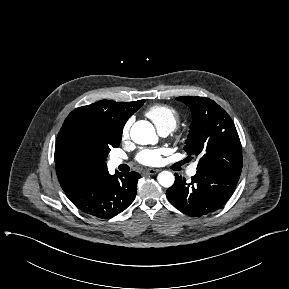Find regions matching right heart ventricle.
<instances>
[{
	"label": "right heart ventricle",
	"instance_id": "e07e8e85",
	"mask_svg": "<svg viewBox=\"0 0 289 289\" xmlns=\"http://www.w3.org/2000/svg\"><path fill=\"white\" fill-rule=\"evenodd\" d=\"M145 116L154 123L160 133L163 131H173L180 121L179 112L175 108L165 104L150 106L145 111Z\"/></svg>",
	"mask_w": 289,
	"mask_h": 289
}]
</instances>
